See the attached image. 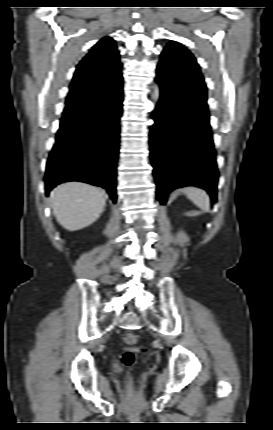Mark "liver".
Here are the masks:
<instances>
[{
  "label": "liver",
  "instance_id": "6515ba94",
  "mask_svg": "<svg viewBox=\"0 0 273 430\" xmlns=\"http://www.w3.org/2000/svg\"><path fill=\"white\" fill-rule=\"evenodd\" d=\"M53 213L65 229L76 231L94 223L104 210V192L80 183L68 182L50 193Z\"/></svg>",
  "mask_w": 273,
  "mask_h": 430
}]
</instances>
